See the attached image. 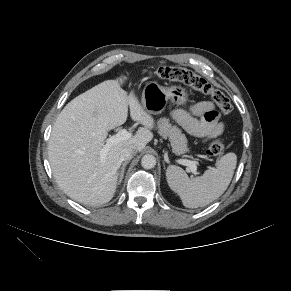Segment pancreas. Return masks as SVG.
Returning <instances> with one entry per match:
<instances>
[{"label": "pancreas", "mask_w": 291, "mask_h": 291, "mask_svg": "<svg viewBox=\"0 0 291 291\" xmlns=\"http://www.w3.org/2000/svg\"><path fill=\"white\" fill-rule=\"evenodd\" d=\"M159 134L164 138H169L172 151L177 154H183L189 149L187 147V139L181 130L176 126H172L168 119L162 118L158 121Z\"/></svg>", "instance_id": "1"}]
</instances>
